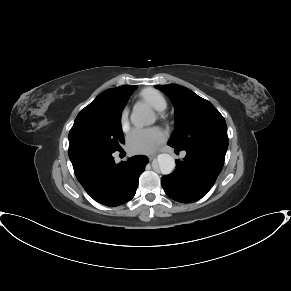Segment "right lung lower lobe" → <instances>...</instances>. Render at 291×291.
I'll return each mask as SVG.
<instances>
[{
    "instance_id": "1",
    "label": "right lung lower lobe",
    "mask_w": 291,
    "mask_h": 291,
    "mask_svg": "<svg viewBox=\"0 0 291 291\" xmlns=\"http://www.w3.org/2000/svg\"><path fill=\"white\" fill-rule=\"evenodd\" d=\"M114 152L95 148L68 150L80 184L94 200L109 207L124 204L134 197L138 178L148 163L146 156L139 155L116 164Z\"/></svg>"
}]
</instances>
